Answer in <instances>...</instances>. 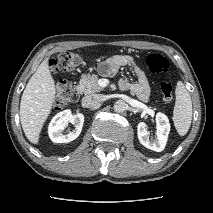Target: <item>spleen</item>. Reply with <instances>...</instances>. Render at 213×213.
Listing matches in <instances>:
<instances>
[{
  "label": "spleen",
  "instance_id": "3e777b00",
  "mask_svg": "<svg viewBox=\"0 0 213 213\" xmlns=\"http://www.w3.org/2000/svg\"><path fill=\"white\" fill-rule=\"evenodd\" d=\"M176 102L173 110L174 126L180 136L186 135L192 120V101L185 85L178 81L176 85Z\"/></svg>",
  "mask_w": 213,
  "mask_h": 213
}]
</instances>
